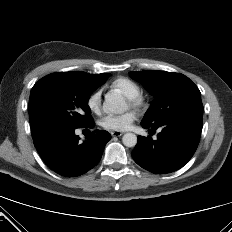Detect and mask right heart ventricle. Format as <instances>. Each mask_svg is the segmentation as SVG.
Listing matches in <instances>:
<instances>
[{
  "label": "right heart ventricle",
  "mask_w": 232,
  "mask_h": 232,
  "mask_svg": "<svg viewBox=\"0 0 232 232\" xmlns=\"http://www.w3.org/2000/svg\"><path fill=\"white\" fill-rule=\"evenodd\" d=\"M110 88L112 90H118L127 98H132L141 94L140 85L128 77H118L114 79L110 84Z\"/></svg>",
  "instance_id": "right-heart-ventricle-1"
}]
</instances>
